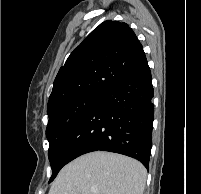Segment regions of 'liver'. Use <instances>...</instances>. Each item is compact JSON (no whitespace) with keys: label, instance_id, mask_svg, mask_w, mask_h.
Listing matches in <instances>:
<instances>
[{"label":"liver","instance_id":"6515ba94","mask_svg":"<svg viewBox=\"0 0 201 194\" xmlns=\"http://www.w3.org/2000/svg\"><path fill=\"white\" fill-rule=\"evenodd\" d=\"M146 169L135 159L103 151L67 164L48 194H143Z\"/></svg>","mask_w":201,"mask_h":194}]
</instances>
